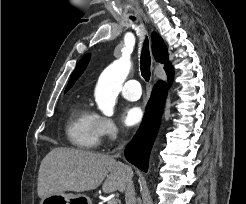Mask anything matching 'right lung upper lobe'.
Masks as SVG:
<instances>
[{"mask_svg":"<svg viewBox=\"0 0 246 204\" xmlns=\"http://www.w3.org/2000/svg\"><path fill=\"white\" fill-rule=\"evenodd\" d=\"M152 51H153V55H154L155 59L158 62H161V63L167 62L168 52H167L166 45L163 42L162 38L157 33L152 34ZM89 57H90V55L87 54L81 58V60L77 64L74 72L71 75L70 81L66 87L65 92L72 87V85L75 83V81L82 74V72L84 71V69L87 66V63L89 61ZM165 70H166V72L171 70L170 64L165 65Z\"/></svg>","mask_w":246,"mask_h":204,"instance_id":"cb5924a9","label":"right lung upper lobe"}]
</instances>
